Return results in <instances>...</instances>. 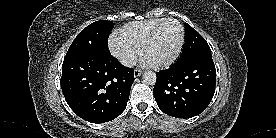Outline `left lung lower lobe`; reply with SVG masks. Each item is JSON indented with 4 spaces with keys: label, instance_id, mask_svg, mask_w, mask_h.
Segmentation results:
<instances>
[{
    "label": "left lung lower lobe",
    "instance_id": "1",
    "mask_svg": "<svg viewBox=\"0 0 276 138\" xmlns=\"http://www.w3.org/2000/svg\"><path fill=\"white\" fill-rule=\"evenodd\" d=\"M216 69L210 52H201L157 73L153 89L158 107L176 118L202 113L215 93Z\"/></svg>",
    "mask_w": 276,
    "mask_h": 138
}]
</instances>
